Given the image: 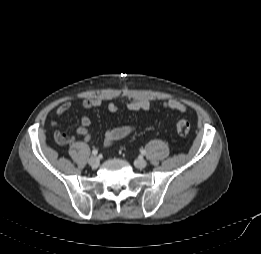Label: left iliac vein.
Segmentation results:
<instances>
[{"mask_svg":"<svg viewBox=\"0 0 261 254\" xmlns=\"http://www.w3.org/2000/svg\"><path fill=\"white\" fill-rule=\"evenodd\" d=\"M134 165L138 169H144L147 166V162L142 157H139L135 160Z\"/></svg>","mask_w":261,"mask_h":254,"instance_id":"obj_1","label":"left iliac vein"}]
</instances>
